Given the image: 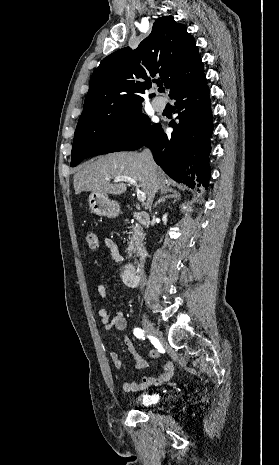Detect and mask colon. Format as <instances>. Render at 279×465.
I'll return each instance as SVG.
<instances>
[{"label": "colon", "instance_id": "obj_1", "mask_svg": "<svg viewBox=\"0 0 279 465\" xmlns=\"http://www.w3.org/2000/svg\"><path fill=\"white\" fill-rule=\"evenodd\" d=\"M85 240L92 250H97L100 246V233L96 230H90L86 233Z\"/></svg>", "mask_w": 279, "mask_h": 465}]
</instances>
